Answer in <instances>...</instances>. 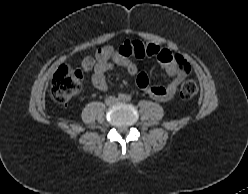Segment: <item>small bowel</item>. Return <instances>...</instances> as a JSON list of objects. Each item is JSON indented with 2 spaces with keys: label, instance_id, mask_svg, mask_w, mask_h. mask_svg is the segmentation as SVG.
Here are the masks:
<instances>
[{
  "label": "small bowel",
  "instance_id": "small-bowel-1",
  "mask_svg": "<svg viewBox=\"0 0 248 194\" xmlns=\"http://www.w3.org/2000/svg\"><path fill=\"white\" fill-rule=\"evenodd\" d=\"M134 47L133 41L125 42L120 50L112 46L100 47L94 56H87L83 59L82 69L85 73L93 70V85L98 90L104 91L108 87L105 74L115 66L124 68L131 75L137 74V67L130 59L131 56H135ZM149 49L150 53L145 56L155 57L171 80L165 86L152 85L147 74L139 73L136 78L137 85L152 98L168 101L174 97L178 86L189 71V65L181 56L172 54L155 44L149 43Z\"/></svg>",
  "mask_w": 248,
  "mask_h": 194
}]
</instances>
